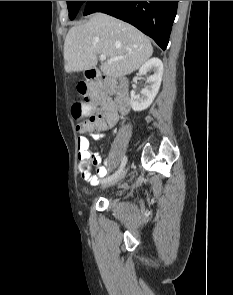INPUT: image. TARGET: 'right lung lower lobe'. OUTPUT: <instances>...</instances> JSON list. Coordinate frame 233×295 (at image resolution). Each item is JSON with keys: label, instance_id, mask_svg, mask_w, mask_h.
I'll list each match as a JSON object with an SVG mask.
<instances>
[{"label": "right lung lower lobe", "instance_id": "obj_1", "mask_svg": "<svg viewBox=\"0 0 233 295\" xmlns=\"http://www.w3.org/2000/svg\"><path fill=\"white\" fill-rule=\"evenodd\" d=\"M178 1H87L84 15L103 12L124 20L146 35L165 50Z\"/></svg>", "mask_w": 233, "mask_h": 295}]
</instances>
